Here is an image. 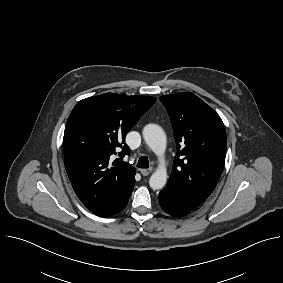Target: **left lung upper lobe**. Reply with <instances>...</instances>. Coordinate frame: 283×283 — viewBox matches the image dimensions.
Listing matches in <instances>:
<instances>
[{"label":"left lung upper lobe","instance_id":"left-lung-upper-lobe-1","mask_svg":"<svg viewBox=\"0 0 283 283\" xmlns=\"http://www.w3.org/2000/svg\"><path fill=\"white\" fill-rule=\"evenodd\" d=\"M173 126L177 155L167 186L191 208L215 189L226 154V132L219 115L190 92L161 96Z\"/></svg>","mask_w":283,"mask_h":283}]
</instances>
